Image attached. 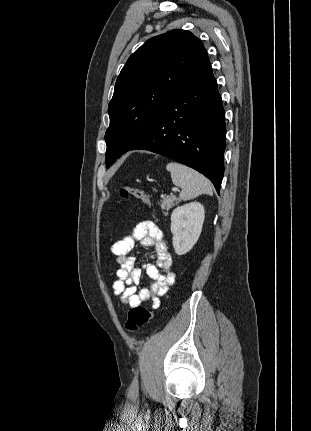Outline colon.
Returning a JSON list of instances; mask_svg holds the SVG:
<instances>
[{
  "mask_svg": "<svg viewBox=\"0 0 311 431\" xmlns=\"http://www.w3.org/2000/svg\"><path fill=\"white\" fill-rule=\"evenodd\" d=\"M120 196L122 198L132 197L144 204H150L149 197L140 189L134 187L124 186L120 189ZM154 314L142 306L132 308L127 317L126 328L130 332H135L144 326L153 318Z\"/></svg>",
  "mask_w": 311,
  "mask_h": 431,
  "instance_id": "1",
  "label": "colon"
}]
</instances>
